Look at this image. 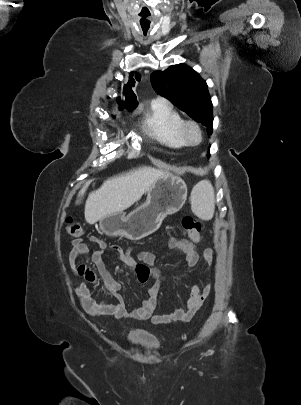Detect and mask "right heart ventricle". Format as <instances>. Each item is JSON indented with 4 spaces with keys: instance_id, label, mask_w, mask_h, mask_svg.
Returning a JSON list of instances; mask_svg holds the SVG:
<instances>
[{
    "instance_id": "e07e8e85",
    "label": "right heart ventricle",
    "mask_w": 301,
    "mask_h": 405,
    "mask_svg": "<svg viewBox=\"0 0 301 405\" xmlns=\"http://www.w3.org/2000/svg\"><path fill=\"white\" fill-rule=\"evenodd\" d=\"M183 118L169 104L155 101L140 118L142 130L157 142L174 149L187 146L181 134Z\"/></svg>"
}]
</instances>
